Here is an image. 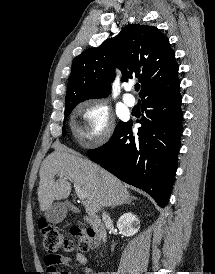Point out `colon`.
<instances>
[{
	"instance_id": "5ec220e1",
	"label": "colon",
	"mask_w": 215,
	"mask_h": 274,
	"mask_svg": "<svg viewBox=\"0 0 215 274\" xmlns=\"http://www.w3.org/2000/svg\"><path fill=\"white\" fill-rule=\"evenodd\" d=\"M39 229L43 240V247L49 254H54L59 249L71 251L75 247L84 251L96 249L98 241L95 233L91 229L74 228L71 234L77 237V243L65 238L63 234L44 218L39 220Z\"/></svg>"
}]
</instances>
